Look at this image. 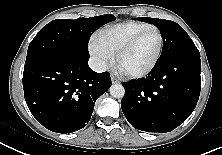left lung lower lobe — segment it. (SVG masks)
Listing matches in <instances>:
<instances>
[{"label": "left lung lower lobe", "mask_w": 222, "mask_h": 155, "mask_svg": "<svg viewBox=\"0 0 222 155\" xmlns=\"http://www.w3.org/2000/svg\"><path fill=\"white\" fill-rule=\"evenodd\" d=\"M200 55L180 54L157 61L148 77L122 83V111L130 124L165 133L181 125L196 107L201 89Z\"/></svg>", "instance_id": "1"}]
</instances>
